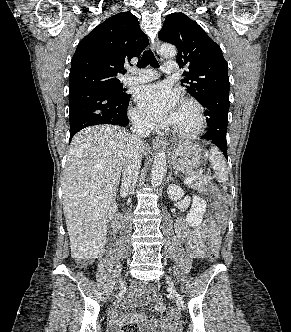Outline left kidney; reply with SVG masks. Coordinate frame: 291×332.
<instances>
[{"instance_id":"5707ae66","label":"left kidney","mask_w":291,"mask_h":332,"mask_svg":"<svg viewBox=\"0 0 291 332\" xmlns=\"http://www.w3.org/2000/svg\"><path fill=\"white\" fill-rule=\"evenodd\" d=\"M167 194L172 201H177L184 196V191L177 185L171 184L168 186ZM206 212V201L198 196H193L192 206L186 216V222L194 227L199 226L203 220Z\"/></svg>"}]
</instances>
